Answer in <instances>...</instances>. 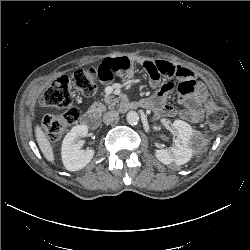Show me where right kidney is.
<instances>
[{
    "mask_svg": "<svg viewBox=\"0 0 250 250\" xmlns=\"http://www.w3.org/2000/svg\"><path fill=\"white\" fill-rule=\"evenodd\" d=\"M88 133L86 125L74 126L62 142L61 155L65 168L69 171H78L84 168L93 158L94 150H81L76 140L85 137Z\"/></svg>",
    "mask_w": 250,
    "mask_h": 250,
    "instance_id": "ca27d5eb",
    "label": "right kidney"
}]
</instances>
